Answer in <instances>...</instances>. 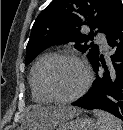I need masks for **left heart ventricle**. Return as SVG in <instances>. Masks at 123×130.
<instances>
[{"instance_id":"obj_1","label":"left heart ventricle","mask_w":123,"mask_h":130,"mask_svg":"<svg viewBox=\"0 0 123 130\" xmlns=\"http://www.w3.org/2000/svg\"><path fill=\"white\" fill-rule=\"evenodd\" d=\"M86 80L83 68L71 60L58 63L52 73V84L55 91L63 97L74 95Z\"/></svg>"}]
</instances>
